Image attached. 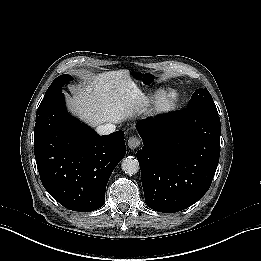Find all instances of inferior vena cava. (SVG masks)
I'll return each mask as SVG.
<instances>
[{
  "mask_svg": "<svg viewBox=\"0 0 261 261\" xmlns=\"http://www.w3.org/2000/svg\"><path fill=\"white\" fill-rule=\"evenodd\" d=\"M115 130H116V126H115V124H112V123H106L103 125H99L96 128V132L99 135H109V134L115 132Z\"/></svg>",
  "mask_w": 261,
  "mask_h": 261,
  "instance_id": "602c4592",
  "label": "inferior vena cava"
}]
</instances>
